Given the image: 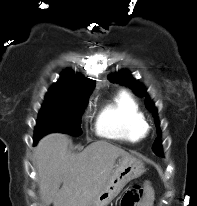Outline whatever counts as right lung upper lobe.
Returning <instances> with one entry per match:
<instances>
[{"label":"right lung upper lobe","instance_id":"cb5924a9","mask_svg":"<svg viewBox=\"0 0 197 206\" xmlns=\"http://www.w3.org/2000/svg\"><path fill=\"white\" fill-rule=\"evenodd\" d=\"M95 82L91 79L76 75L72 70L67 69L60 79L50 88L49 94H74L78 96L90 95Z\"/></svg>","mask_w":197,"mask_h":206}]
</instances>
